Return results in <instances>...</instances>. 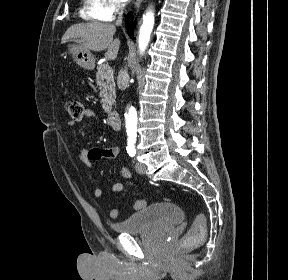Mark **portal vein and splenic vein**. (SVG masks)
Returning <instances> with one entry per match:
<instances>
[{
    "label": "portal vein and splenic vein",
    "instance_id": "18ae733b",
    "mask_svg": "<svg viewBox=\"0 0 288 280\" xmlns=\"http://www.w3.org/2000/svg\"><path fill=\"white\" fill-rule=\"evenodd\" d=\"M108 76H113V70L109 67L107 71Z\"/></svg>",
    "mask_w": 288,
    "mask_h": 280
}]
</instances>
